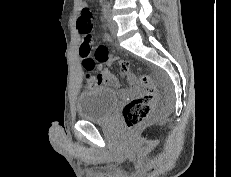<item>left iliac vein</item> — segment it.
<instances>
[{
	"label": "left iliac vein",
	"instance_id": "4c4485c4",
	"mask_svg": "<svg viewBox=\"0 0 231 177\" xmlns=\"http://www.w3.org/2000/svg\"><path fill=\"white\" fill-rule=\"evenodd\" d=\"M107 21H108V28H109L111 34H112L113 36H115L116 33H117V29H118L117 23L112 19V17H111L110 14H109V16H108Z\"/></svg>",
	"mask_w": 231,
	"mask_h": 177
}]
</instances>
